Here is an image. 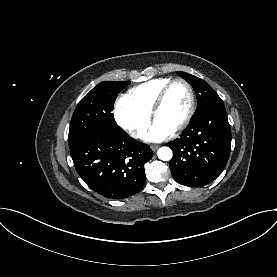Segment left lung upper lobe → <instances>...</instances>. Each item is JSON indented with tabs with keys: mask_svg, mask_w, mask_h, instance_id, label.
Listing matches in <instances>:
<instances>
[{
	"mask_svg": "<svg viewBox=\"0 0 277 277\" xmlns=\"http://www.w3.org/2000/svg\"><path fill=\"white\" fill-rule=\"evenodd\" d=\"M177 74L180 75L183 79H185L189 84H191L196 93V114L200 113L211 104L222 101L218 94L215 92V90L204 80L182 71H177Z\"/></svg>",
	"mask_w": 277,
	"mask_h": 277,
	"instance_id": "obj_1",
	"label": "left lung upper lobe"
}]
</instances>
